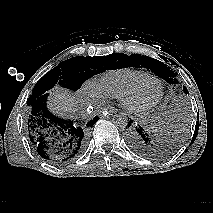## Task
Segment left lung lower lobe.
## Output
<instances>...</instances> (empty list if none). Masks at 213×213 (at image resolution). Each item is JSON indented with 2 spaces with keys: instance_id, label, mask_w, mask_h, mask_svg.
I'll use <instances>...</instances> for the list:
<instances>
[{
  "instance_id": "left-lung-lower-lobe-1",
  "label": "left lung lower lobe",
  "mask_w": 213,
  "mask_h": 213,
  "mask_svg": "<svg viewBox=\"0 0 213 213\" xmlns=\"http://www.w3.org/2000/svg\"><path fill=\"white\" fill-rule=\"evenodd\" d=\"M132 123L133 121L130 119L129 129L126 131V141L130 148L144 157L158 158L164 156L165 150L158 135L141 125L133 127Z\"/></svg>"
}]
</instances>
